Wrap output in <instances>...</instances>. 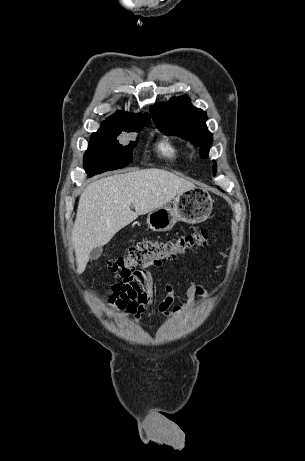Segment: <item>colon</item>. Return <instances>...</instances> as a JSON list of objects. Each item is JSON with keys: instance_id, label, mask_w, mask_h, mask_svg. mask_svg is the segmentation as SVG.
I'll return each mask as SVG.
<instances>
[{"instance_id": "colon-1", "label": "colon", "mask_w": 305, "mask_h": 461, "mask_svg": "<svg viewBox=\"0 0 305 461\" xmlns=\"http://www.w3.org/2000/svg\"><path fill=\"white\" fill-rule=\"evenodd\" d=\"M208 239L206 230H196L175 239L141 241L132 245L126 255L108 261L107 269L120 279H128L148 265H157L203 247Z\"/></svg>"}]
</instances>
